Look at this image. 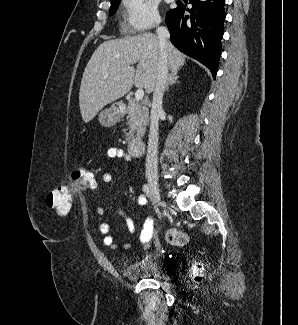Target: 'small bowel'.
Returning <instances> with one entry per match:
<instances>
[{"instance_id": "c3829d8e", "label": "small bowel", "mask_w": 298, "mask_h": 325, "mask_svg": "<svg viewBox=\"0 0 298 325\" xmlns=\"http://www.w3.org/2000/svg\"><path fill=\"white\" fill-rule=\"evenodd\" d=\"M107 155L109 158L112 159H120L125 162H130L132 157L130 154H128L126 151H124L120 147H110L107 150ZM101 180L104 183H110L113 180V175L110 172H103L101 174ZM137 202L139 205H145L146 204V198L143 195H140L137 199ZM97 213L100 216L106 215V208L102 205L97 207ZM119 214L123 218L126 227L129 232H134V222L132 219L124 212L123 209H119ZM110 224L108 222H102L99 226V232L103 235V244L105 246H108L112 249H116L118 246L114 241V238L110 234ZM153 237V221L150 218H147L144 221L143 228L140 234V241L142 243L148 242ZM128 244H125L124 247H128Z\"/></svg>"}]
</instances>
